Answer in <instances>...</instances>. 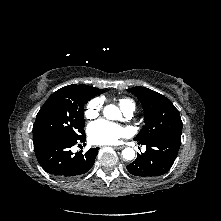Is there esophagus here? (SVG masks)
<instances>
[{
	"label": "esophagus",
	"mask_w": 221,
	"mask_h": 221,
	"mask_svg": "<svg viewBox=\"0 0 221 221\" xmlns=\"http://www.w3.org/2000/svg\"><path fill=\"white\" fill-rule=\"evenodd\" d=\"M113 148H114L115 150H121V149L124 148V146H114Z\"/></svg>",
	"instance_id": "34e87169"
}]
</instances>
